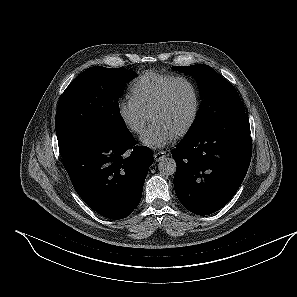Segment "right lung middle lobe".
Instances as JSON below:
<instances>
[{
	"label": "right lung middle lobe",
	"instance_id": "right-lung-middle-lobe-1",
	"mask_svg": "<svg viewBox=\"0 0 297 297\" xmlns=\"http://www.w3.org/2000/svg\"><path fill=\"white\" fill-rule=\"evenodd\" d=\"M136 73L127 69L90 67L63 92L55 117L59 152L66 156L91 136L129 133L118 99Z\"/></svg>",
	"mask_w": 297,
	"mask_h": 297
}]
</instances>
